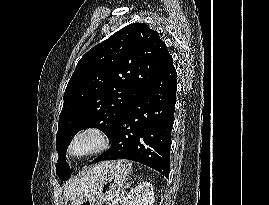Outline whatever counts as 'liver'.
Segmentation results:
<instances>
[{
  "label": "liver",
  "instance_id": "1",
  "mask_svg": "<svg viewBox=\"0 0 269 205\" xmlns=\"http://www.w3.org/2000/svg\"><path fill=\"white\" fill-rule=\"evenodd\" d=\"M110 162H100L89 167L74 178L64 190V200H74L88 193L95 185L97 178L105 170Z\"/></svg>",
  "mask_w": 269,
  "mask_h": 205
}]
</instances>
